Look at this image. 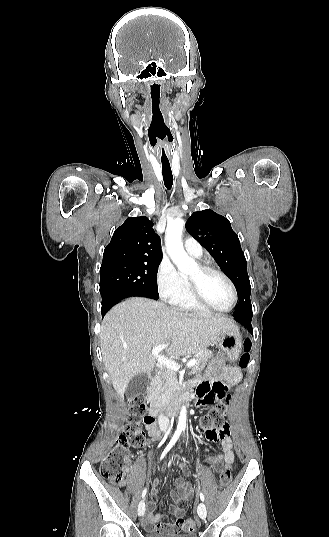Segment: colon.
Listing matches in <instances>:
<instances>
[{
    "mask_svg": "<svg viewBox=\"0 0 329 537\" xmlns=\"http://www.w3.org/2000/svg\"><path fill=\"white\" fill-rule=\"evenodd\" d=\"M250 348V342L246 341L244 343V351L239 359V365L242 369H245L250 362ZM229 401L230 395L225 399H220L215 407L200 418V428L209 433L218 429L222 430L226 425L225 418ZM128 403L130 412L124 432L118 437L111 450L105 454L100 468L101 476L115 486H123L125 484L129 450L131 448H144L147 446L149 438L143 430V424L153 422V418L148 414L147 406L141 395L138 394L129 397ZM231 479L232 468L231 466H225L219 477V486L221 488L227 487ZM182 524L184 526L183 531L186 534H193L198 526V522L194 519H182Z\"/></svg>",
    "mask_w": 329,
    "mask_h": 537,
    "instance_id": "5ec220e1",
    "label": "colon"
}]
</instances>
